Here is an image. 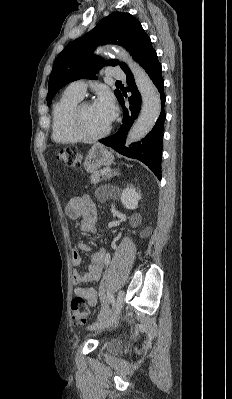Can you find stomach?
Listing matches in <instances>:
<instances>
[{
    "mask_svg": "<svg viewBox=\"0 0 232 399\" xmlns=\"http://www.w3.org/2000/svg\"><path fill=\"white\" fill-rule=\"evenodd\" d=\"M112 162L113 156L111 152H108L102 144L96 142L85 158L84 168L86 172H97L101 166H110Z\"/></svg>",
    "mask_w": 232,
    "mask_h": 399,
    "instance_id": "1",
    "label": "stomach"
}]
</instances>
